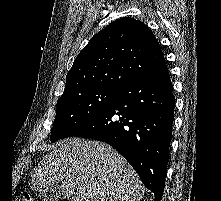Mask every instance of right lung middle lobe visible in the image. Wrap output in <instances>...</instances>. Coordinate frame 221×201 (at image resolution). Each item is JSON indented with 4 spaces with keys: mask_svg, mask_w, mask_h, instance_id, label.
I'll return each mask as SVG.
<instances>
[{
    "mask_svg": "<svg viewBox=\"0 0 221 201\" xmlns=\"http://www.w3.org/2000/svg\"><path fill=\"white\" fill-rule=\"evenodd\" d=\"M116 92L115 89L95 87L62 95L57 102L51 142L68 137L107 106Z\"/></svg>",
    "mask_w": 221,
    "mask_h": 201,
    "instance_id": "dd1d6c3e",
    "label": "right lung middle lobe"
}]
</instances>
